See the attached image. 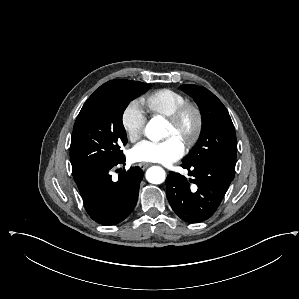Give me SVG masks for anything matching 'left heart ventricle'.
<instances>
[{
  "label": "left heart ventricle",
  "mask_w": 299,
  "mask_h": 299,
  "mask_svg": "<svg viewBox=\"0 0 299 299\" xmlns=\"http://www.w3.org/2000/svg\"><path fill=\"white\" fill-rule=\"evenodd\" d=\"M194 124V117L189 115L179 129H175L168 123L165 138L176 137L182 143L190 135Z\"/></svg>",
  "instance_id": "b2bd125f"
}]
</instances>
